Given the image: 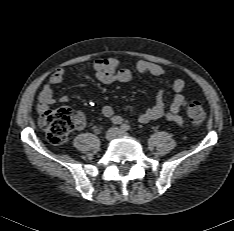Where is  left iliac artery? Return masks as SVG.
Here are the masks:
<instances>
[{"label":"left iliac artery","instance_id":"obj_1","mask_svg":"<svg viewBox=\"0 0 234 231\" xmlns=\"http://www.w3.org/2000/svg\"><path fill=\"white\" fill-rule=\"evenodd\" d=\"M131 128H130V126L128 125V124H122L121 125V130H123V131H128V130H130Z\"/></svg>","mask_w":234,"mask_h":231}]
</instances>
